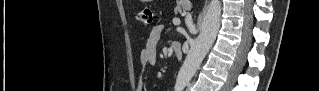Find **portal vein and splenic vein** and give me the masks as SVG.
<instances>
[{
	"label": "portal vein and splenic vein",
	"instance_id": "obj_1",
	"mask_svg": "<svg viewBox=\"0 0 319 91\" xmlns=\"http://www.w3.org/2000/svg\"><path fill=\"white\" fill-rule=\"evenodd\" d=\"M173 23L176 24V25H179L180 24V20L179 19H173Z\"/></svg>",
	"mask_w": 319,
	"mask_h": 91
}]
</instances>
